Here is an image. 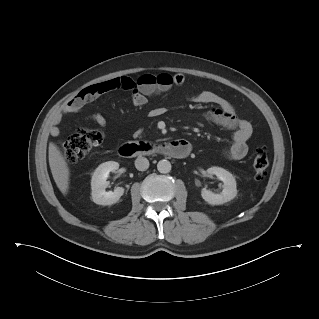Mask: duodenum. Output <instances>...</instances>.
I'll return each instance as SVG.
<instances>
[{"label":"duodenum","mask_w":319,"mask_h":319,"mask_svg":"<svg viewBox=\"0 0 319 319\" xmlns=\"http://www.w3.org/2000/svg\"><path fill=\"white\" fill-rule=\"evenodd\" d=\"M191 144L183 139L172 140L161 144L132 142L119 148L122 157L162 155L175 159H183L189 155Z\"/></svg>","instance_id":"duodenum-1"}]
</instances>
